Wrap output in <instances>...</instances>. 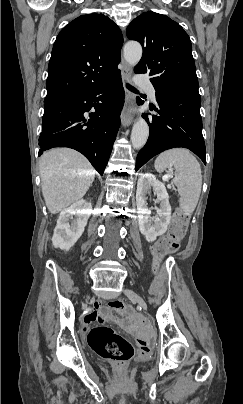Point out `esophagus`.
<instances>
[{"label":"esophagus","instance_id":"34e87169","mask_svg":"<svg viewBox=\"0 0 243 404\" xmlns=\"http://www.w3.org/2000/svg\"><path fill=\"white\" fill-rule=\"evenodd\" d=\"M121 75L123 80L129 82L131 80L132 72L127 63L122 59ZM133 103V94L125 89V108L121 114V123L123 127H128L133 122V116L127 112V107Z\"/></svg>","mask_w":243,"mask_h":404}]
</instances>
